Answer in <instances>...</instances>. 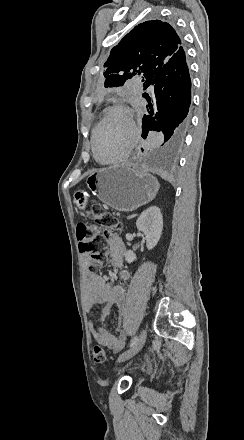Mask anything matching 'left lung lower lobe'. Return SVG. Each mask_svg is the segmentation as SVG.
<instances>
[{
	"label": "left lung lower lobe",
	"mask_w": 244,
	"mask_h": 440,
	"mask_svg": "<svg viewBox=\"0 0 244 440\" xmlns=\"http://www.w3.org/2000/svg\"><path fill=\"white\" fill-rule=\"evenodd\" d=\"M150 85H154L153 97L143 94L149 104L142 120V137L145 139L149 131H161L164 142L158 153H174L183 145L191 125V80L186 58L163 66L144 88Z\"/></svg>",
	"instance_id": "0a47b994"
}]
</instances>
